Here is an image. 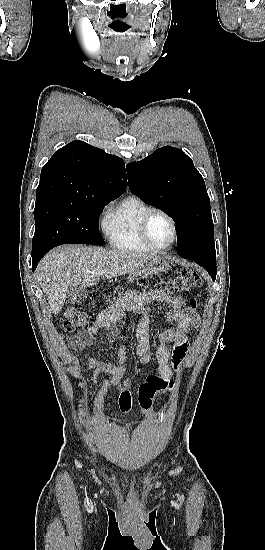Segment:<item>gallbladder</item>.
Wrapping results in <instances>:
<instances>
[{
	"mask_svg": "<svg viewBox=\"0 0 265 550\" xmlns=\"http://www.w3.org/2000/svg\"><path fill=\"white\" fill-rule=\"evenodd\" d=\"M88 291L83 286H69L66 291V301L71 304H80L87 299Z\"/></svg>",
	"mask_w": 265,
	"mask_h": 550,
	"instance_id": "bac80fb5",
	"label": "gallbladder"
}]
</instances>
